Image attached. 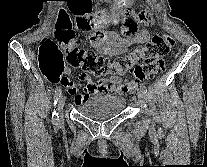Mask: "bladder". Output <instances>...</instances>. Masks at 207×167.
<instances>
[{"label": "bladder", "instance_id": "31cf9c89", "mask_svg": "<svg viewBox=\"0 0 207 167\" xmlns=\"http://www.w3.org/2000/svg\"><path fill=\"white\" fill-rule=\"evenodd\" d=\"M126 99L117 95L93 97L78 105L77 110L85 117L104 120L119 115L125 108Z\"/></svg>", "mask_w": 207, "mask_h": 167}]
</instances>
